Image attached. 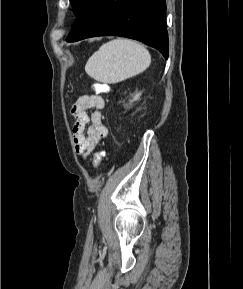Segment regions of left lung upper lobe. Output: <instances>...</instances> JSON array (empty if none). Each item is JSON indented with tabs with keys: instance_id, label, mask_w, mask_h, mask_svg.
<instances>
[{
	"instance_id": "5c2ea615",
	"label": "left lung upper lobe",
	"mask_w": 243,
	"mask_h": 289,
	"mask_svg": "<svg viewBox=\"0 0 243 289\" xmlns=\"http://www.w3.org/2000/svg\"><path fill=\"white\" fill-rule=\"evenodd\" d=\"M90 0H70L74 13L79 15Z\"/></svg>"
}]
</instances>
